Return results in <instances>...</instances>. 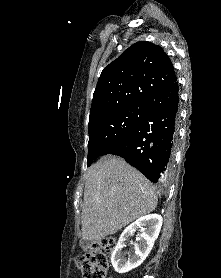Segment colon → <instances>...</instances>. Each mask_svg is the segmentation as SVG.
<instances>
[{"instance_id": "colon-1", "label": "colon", "mask_w": 221, "mask_h": 278, "mask_svg": "<svg viewBox=\"0 0 221 278\" xmlns=\"http://www.w3.org/2000/svg\"><path fill=\"white\" fill-rule=\"evenodd\" d=\"M116 245L114 238H105L94 243L88 252L79 255L75 263L84 278H105L109 267L108 254Z\"/></svg>"}]
</instances>
